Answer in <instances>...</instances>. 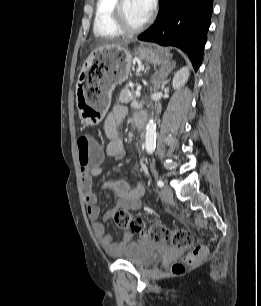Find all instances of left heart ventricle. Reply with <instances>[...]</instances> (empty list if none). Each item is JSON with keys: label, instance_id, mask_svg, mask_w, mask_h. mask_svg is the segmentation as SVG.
<instances>
[{"label": "left heart ventricle", "instance_id": "b2bd125f", "mask_svg": "<svg viewBox=\"0 0 261 306\" xmlns=\"http://www.w3.org/2000/svg\"><path fill=\"white\" fill-rule=\"evenodd\" d=\"M124 12L127 20L133 26H138L146 20V18L140 12L139 8L136 6L134 0H125Z\"/></svg>", "mask_w": 261, "mask_h": 306}]
</instances>
